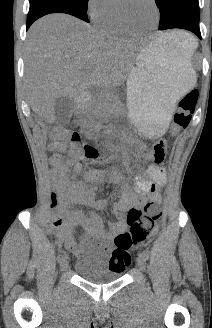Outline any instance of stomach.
<instances>
[{
  "label": "stomach",
  "mask_w": 212,
  "mask_h": 328,
  "mask_svg": "<svg viewBox=\"0 0 212 328\" xmlns=\"http://www.w3.org/2000/svg\"><path fill=\"white\" fill-rule=\"evenodd\" d=\"M195 83L191 57L181 48L155 39L142 49L127 80V107L138 130L162 136L177 100Z\"/></svg>",
  "instance_id": "stomach-1"
}]
</instances>
